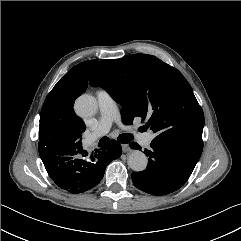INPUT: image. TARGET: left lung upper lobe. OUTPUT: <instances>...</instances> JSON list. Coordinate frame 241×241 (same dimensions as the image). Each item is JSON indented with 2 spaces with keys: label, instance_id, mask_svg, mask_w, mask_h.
<instances>
[{
  "label": "left lung upper lobe",
  "instance_id": "obj_1",
  "mask_svg": "<svg viewBox=\"0 0 241 241\" xmlns=\"http://www.w3.org/2000/svg\"><path fill=\"white\" fill-rule=\"evenodd\" d=\"M90 85L100 86L122 106V120L148 119L161 141L201 154L204 114L185 77L155 56L135 54L102 60L92 73Z\"/></svg>",
  "mask_w": 241,
  "mask_h": 241
}]
</instances>
